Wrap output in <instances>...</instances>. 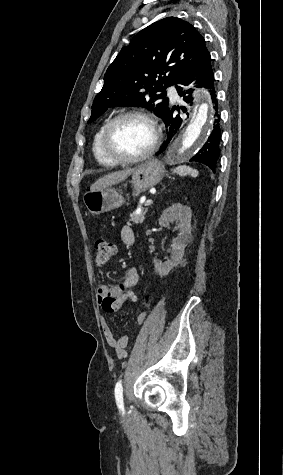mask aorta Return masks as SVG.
Masks as SVG:
<instances>
[{"instance_id":"aorta-1","label":"aorta","mask_w":283,"mask_h":475,"mask_svg":"<svg viewBox=\"0 0 283 475\" xmlns=\"http://www.w3.org/2000/svg\"><path fill=\"white\" fill-rule=\"evenodd\" d=\"M212 127L213 110L205 100L194 106L188 123L165 152V159L172 162L192 157L202 148Z\"/></svg>"}]
</instances>
